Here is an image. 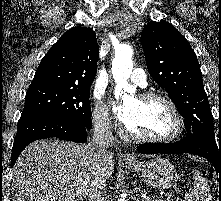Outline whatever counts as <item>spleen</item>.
<instances>
[{"label":"spleen","instance_id":"spleen-1","mask_svg":"<svg viewBox=\"0 0 221 201\" xmlns=\"http://www.w3.org/2000/svg\"><path fill=\"white\" fill-rule=\"evenodd\" d=\"M194 185L186 192L185 201H212L210 188L206 179L193 170Z\"/></svg>","mask_w":221,"mask_h":201}]
</instances>
